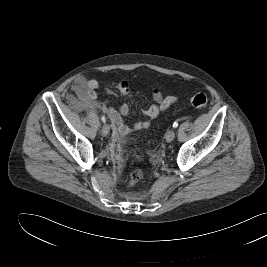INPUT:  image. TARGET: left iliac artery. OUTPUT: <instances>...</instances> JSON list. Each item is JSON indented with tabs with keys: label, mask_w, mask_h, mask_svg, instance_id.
<instances>
[{
	"label": "left iliac artery",
	"mask_w": 267,
	"mask_h": 267,
	"mask_svg": "<svg viewBox=\"0 0 267 267\" xmlns=\"http://www.w3.org/2000/svg\"><path fill=\"white\" fill-rule=\"evenodd\" d=\"M178 127V122H174L173 123V128H177Z\"/></svg>",
	"instance_id": "left-iliac-artery-1"
}]
</instances>
